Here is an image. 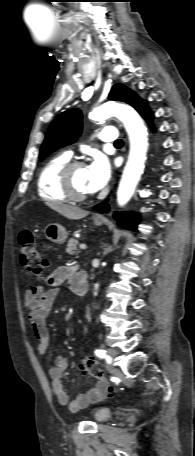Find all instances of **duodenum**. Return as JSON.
<instances>
[{"mask_svg": "<svg viewBox=\"0 0 195 456\" xmlns=\"http://www.w3.org/2000/svg\"><path fill=\"white\" fill-rule=\"evenodd\" d=\"M71 289L78 296H84L88 290V277L85 271H77L71 278Z\"/></svg>", "mask_w": 195, "mask_h": 456, "instance_id": "duodenum-1", "label": "duodenum"}]
</instances>
